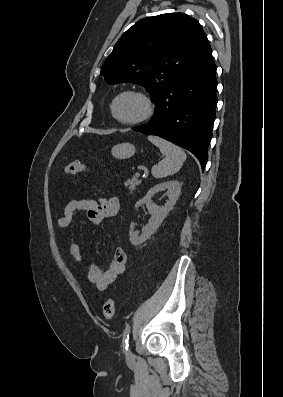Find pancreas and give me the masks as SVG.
<instances>
[{
	"instance_id": "obj_1",
	"label": "pancreas",
	"mask_w": 283,
	"mask_h": 397,
	"mask_svg": "<svg viewBox=\"0 0 283 397\" xmlns=\"http://www.w3.org/2000/svg\"><path fill=\"white\" fill-rule=\"evenodd\" d=\"M140 180L137 178L128 179L124 185L129 188L130 192L136 190V187L140 185Z\"/></svg>"
}]
</instances>
